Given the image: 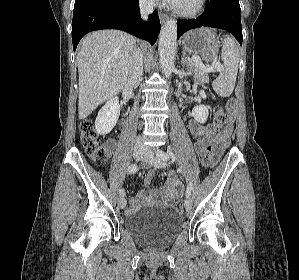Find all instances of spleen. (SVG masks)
Instances as JSON below:
<instances>
[{"label":"spleen","mask_w":299,"mask_h":280,"mask_svg":"<svg viewBox=\"0 0 299 280\" xmlns=\"http://www.w3.org/2000/svg\"><path fill=\"white\" fill-rule=\"evenodd\" d=\"M221 59L222 69L212 87L219 96L228 97L233 93L239 65V50L231 37L222 41Z\"/></svg>","instance_id":"obj_1"}]
</instances>
